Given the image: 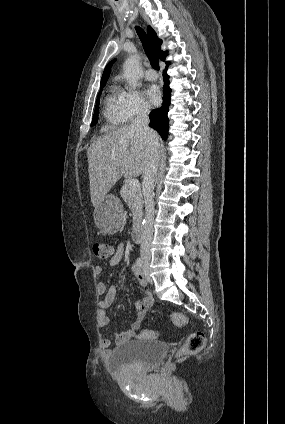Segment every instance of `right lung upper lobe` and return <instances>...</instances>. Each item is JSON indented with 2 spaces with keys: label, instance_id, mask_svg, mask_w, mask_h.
Returning <instances> with one entry per match:
<instances>
[{
  "label": "right lung upper lobe",
  "instance_id": "right-lung-upper-lobe-1",
  "mask_svg": "<svg viewBox=\"0 0 285 424\" xmlns=\"http://www.w3.org/2000/svg\"><path fill=\"white\" fill-rule=\"evenodd\" d=\"M147 33H148V36L150 37V39H151V42H152V44H153V47H154V49H155V51L157 52V54H158V57L162 60V61H164L165 60V54L167 53V52H163L161 49H160V46H161V44H162V40L161 39H159L158 37H157V35H156V33H155V31L150 27V26H148V29H147ZM115 62V60H113V61H111L106 67H105V69H104V72H103V75H102V79H101V86H105V84H106V82H107V80H108V78H109V74H110V67L112 66V64ZM168 63V62H167Z\"/></svg>",
  "mask_w": 285,
  "mask_h": 424
}]
</instances>
